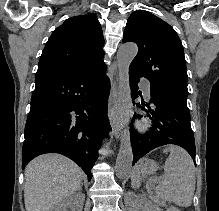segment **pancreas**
I'll return each instance as SVG.
<instances>
[{"instance_id": "pancreas-1", "label": "pancreas", "mask_w": 219, "mask_h": 211, "mask_svg": "<svg viewBox=\"0 0 219 211\" xmlns=\"http://www.w3.org/2000/svg\"><path fill=\"white\" fill-rule=\"evenodd\" d=\"M151 199H153V201H156V203H160L161 199H157V197H155V195H151Z\"/></svg>"}]
</instances>
